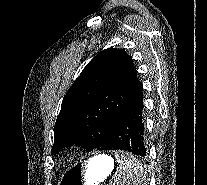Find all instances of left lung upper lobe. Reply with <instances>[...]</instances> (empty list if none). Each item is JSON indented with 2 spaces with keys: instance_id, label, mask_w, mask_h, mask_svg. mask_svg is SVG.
Instances as JSON below:
<instances>
[{
  "instance_id": "1",
  "label": "left lung upper lobe",
  "mask_w": 207,
  "mask_h": 185,
  "mask_svg": "<svg viewBox=\"0 0 207 185\" xmlns=\"http://www.w3.org/2000/svg\"><path fill=\"white\" fill-rule=\"evenodd\" d=\"M133 60L123 49L95 56L65 95L54 127L52 154L78 143L101 150L117 118L142 95Z\"/></svg>"
}]
</instances>
